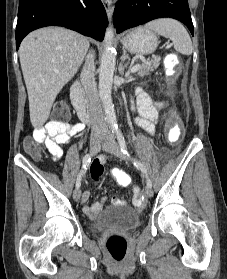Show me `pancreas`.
<instances>
[{
  "instance_id": "obj_1",
  "label": "pancreas",
  "mask_w": 227,
  "mask_h": 279,
  "mask_svg": "<svg viewBox=\"0 0 227 279\" xmlns=\"http://www.w3.org/2000/svg\"><path fill=\"white\" fill-rule=\"evenodd\" d=\"M159 58L152 60L151 62L141 65V67L136 71L140 77H144L149 75L159 66Z\"/></svg>"
}]
</instances>
